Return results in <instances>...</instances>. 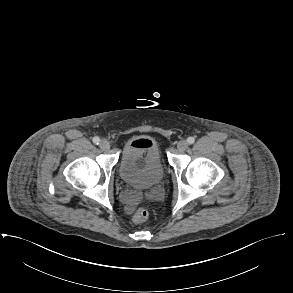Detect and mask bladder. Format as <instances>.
<instances>
[{
  "instance_id": "obj_1",
  "label": "bladder",
  "mask_w": 293,
  "mask_h": 293,
  "mask_svg": "<svg viewBox=\"0 0 293 293\" xmlns=\"http://www.w3.org/2000/svg\"><path fill=\"white\" fill-rule=\"evenodd\" d=\"M121 179L129 185L160 183L165 174V167L156 143L127 144L119 164Z\"/></svg>"
}]
</instances>
